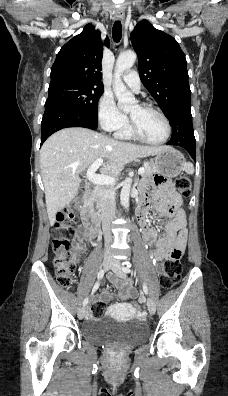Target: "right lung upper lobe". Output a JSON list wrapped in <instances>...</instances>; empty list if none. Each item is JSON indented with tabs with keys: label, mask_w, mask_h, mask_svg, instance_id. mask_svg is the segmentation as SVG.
<instances>
[{
	"label": "right lung upper lobe",
	"mask_w": 228,
	"mask_h": 396,
	"mask_svg": "<svg viewBox=\"0 0 228 396\" xmlns=\"http://www.w3.org/2000/svg\"><path fill=\"white\" fill-rule=\"evenodd\" d=\"M105 45L109 46L108 37ZM103 46L101 34L87 24L83 31L67 42L57 54L51 68V83H79L103 86L101 60Z\"/></svg>",
	"instance_id": "1"
}]
</instances>
